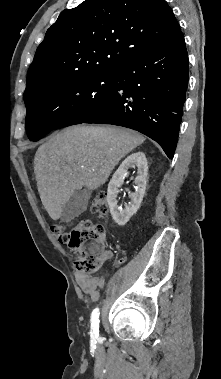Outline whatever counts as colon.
Masks as SVG:
<instances>
[{"instance_id": "5ec220e1", "label": "colon", "mask_w": 221, "mask_h": 379, "mask_svg": "<svg viewBox=\"0 0 221 379\" xmlns=\"http://www.w3.org/2000/svg\"><path fill=\"white\" fill-rule=\"evenodd\" d=\"M91 211L99 215L107 213L108 203L104 192H98L94 196ZM50 229L60 243L66 244L71 250L78 253L77 270L85 274H92L98 270L104 252V230L101 226L93 224L88 219H83L70 231H65L60 224H53Z\"/></svg>"}]
</instances>
